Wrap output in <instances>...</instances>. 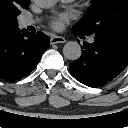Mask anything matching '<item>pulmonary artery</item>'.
<instances>
[{
	"label": "pulmonary artery",
	"mask_w": 128,
	"mask_h": 128,
	"mask_svg": "<svg viewBox=\"0 0 128 128\" xmlns=\"http://www.w3.org/2000/svg\"><path fill=\"white\" fill-rule=\"evenodd\" d=\"M62 1L72 2L74 0H62ZM37 22H38L37 20L31 19V18H24V19L21 20V26L22 27H28V26L36 24ZM89 41L92 43V42H94V39L90 38Z\"/></svg>",
	"instance_id": "e3ab8cb5"
}]
</instances>
